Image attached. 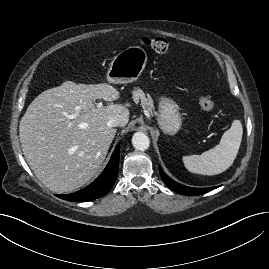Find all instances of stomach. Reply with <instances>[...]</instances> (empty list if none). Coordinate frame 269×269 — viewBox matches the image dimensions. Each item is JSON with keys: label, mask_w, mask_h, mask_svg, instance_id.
I'll return each instance as SVG.
<instances>
[{"label": "stomach", "mask_w": 269, "mask_h": 269, "mask_svg": "<svg viewBox=\"0 0 269 269\" xmlns=\"http://www.w3.org/2000/svg\"><path fill=\"white\" fill-rule=\"evenodd\" d=\"M146 50L141 46H131L119 52L112 60L107 72V81L113 84H125L136 81L147 64ZM158 125L169 135L176 134L182 125L177 103L162 96L159 99Z\"/></svg>", "instance_id": "stomach-1"}]
</instances>
